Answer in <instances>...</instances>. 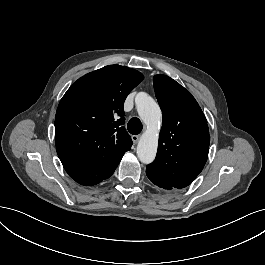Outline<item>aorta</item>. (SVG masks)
I'll return each mask as SVG.
<instances>
[{
  "label": "aorta",
  "mask_w": 265,
  "mask_h": 265,
  "mask_svg": "<svg viewBox=\"0 0 265 265\" xmlns=\"http://www.w3.org/2000/svg\"><path fill=\"white\" fill-rule=\"evenodd\" d=\"M135 105L142 121L153 128L161 118V110L155 100L147 93L139 92L135 97ZM158 147V135L151 129H147L137 145V157L144 164L154 161Z\"/></svg>",
  "instance_id": "762f6f07"
}]
</instances>
